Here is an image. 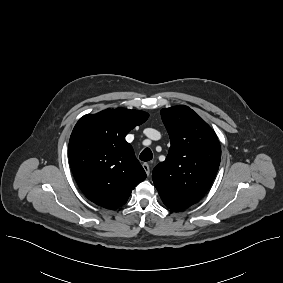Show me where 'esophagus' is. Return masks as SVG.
<instances>
[{"instance_id":"34e87169","label":"esophagus","mask_w":283,"mask_h":283,"mask_svg":"<svg viewBox=\"0 0 283 283\" xmlns=\"http://www.w3.org/2000/svg\"><path fill=\"white\" fill-rule=\"evenodd\" d=\"M143 169L145 170L146 174L149 176L150 174V166L148 163H144L143 165Z\"/></svg>"}]
</instances>
